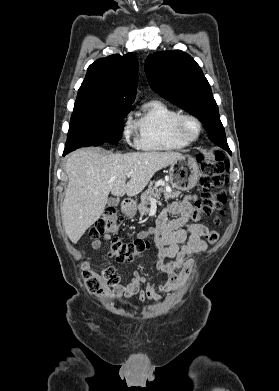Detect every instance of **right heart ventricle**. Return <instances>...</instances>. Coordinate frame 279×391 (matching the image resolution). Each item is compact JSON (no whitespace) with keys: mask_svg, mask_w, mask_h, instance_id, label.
Segmentation results:
<instances>
[{"mask_svg":"<svg viewBox=\"0 0 279 391\" xmlns=\"http://www.w3.org/2000/svg\"><path fill=\"white\" fill-rule=\"evenodd\" d=\"M180 112L159 101L147 102L134 122L137 147L147 151H172L188 146L174 134Z\"/></svg>","mask_w":279,"mask_h":391,"instance_id":"obj_1","label":"right heart ventricle"}]
</instances>
